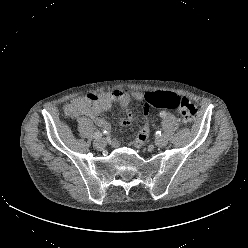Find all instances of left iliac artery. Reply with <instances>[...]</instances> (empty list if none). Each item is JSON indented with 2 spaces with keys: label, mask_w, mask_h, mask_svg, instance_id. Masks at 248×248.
<instances>
[{
  "label": "left iliac artery",
  "mask_w": 248,
  "mask_h": 248,
  "mask_svg": "<svg viewBox=\"0 0 248 248\" xmlns=\"http://www.w3.org/2000/svg\"><path fill=\"white\" fill-rule=\"evenodd\" d=\"M160 117H162V118L166 117V113L164 111L161 112ZM157 133H159L161 135V131H158Z\"/></svg>",
  "instance_id": "left-iliac-artery-1"
}]
</instances>
